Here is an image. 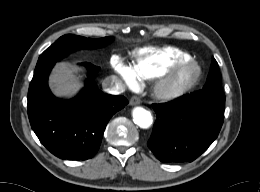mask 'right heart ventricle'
<instances>
[{
	"label": "right heart ventricle",
	"mask_w": 260,
	"mask_h": 192,
	"mask_svg": "<svg viewBox=\"0 0 260 192\" xmlns=\"http://www.w3.org/2000/svg\"><path fill=\"white\" fill-rule=\"evenodd\" d=\"M189 59V54L174 47L146 49L137 59L134 71L140 78L154 79L165 74L176 64Z\"/></svg>",
	"instance_id": "right-heart-ventricle-1"
}]
</instances>
